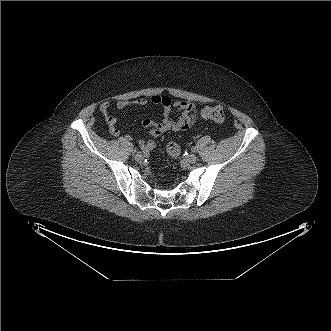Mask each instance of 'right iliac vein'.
<instances>
[{
	"mask_svg": "<svg viewBox=\"0 0 331 331\" xmlns=\"http://www.w3.org/2000/svg\"><path fill=\"white\" fill-rule=\"evenodd\" d=\"M134 159H135L136 161H141V160H143V155H142V153H140V152L136 153V154L134 155Z\"/></svg>",
	"mask_w": 331,
	"mask_h": 331,
	"instance_id": "63e3f726",
	"label": "right iliac vein"
}]
</instances>
